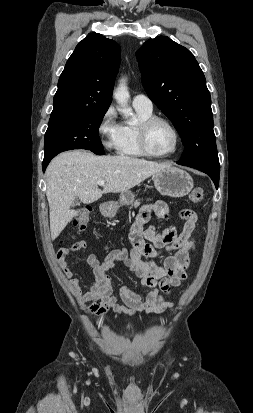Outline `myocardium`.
I'll return each mask as SVG.
<instances>
[{"label":"myocardium","mask_w":253,"mask_h":413,"mask_svg":"<svg viewBox=\"0 0 253 413\" xmlns=\"http://www.w3.org/2000/svg\"><path fill=\"white\" fill-rule=\"evenodd\" d=\"M156 123H164L166 124L174 134V146L171 151L163 154L155 153L151 150L148 141V134L151 127ZM137 136H138V144L139 148L145 156L152 157V158H166L174 155L180 146L181 137L177 127L174 123L169 120L168 118L162 116H150L148 118L142 119L137 125Z\"/></svg>","instance_id":"obj_1"}]
</instances>
